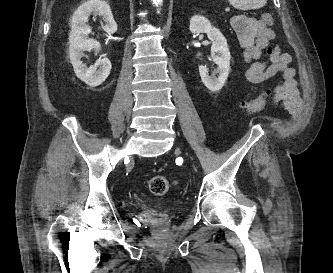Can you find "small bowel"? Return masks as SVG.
I'll use <instances>...</instances> for the list:
<instances>
[{
  "label": "small bowel",
  "instance_id": "obj_1",
  "mask_svg": "<svg viewBox=\"0 0 333 273\" xmlns=\"http://www.w3.org/2000/svg\"><path fill=\"white\" fill-rule=\"evenodd\" d=\"M232 27L243 49L247 64L244 76L250 83L259 84L282 73V80L269 93V98L286 109H294L300 102L296 71L290 66L291 56L281 53L279 46L268 58L261 60L263 50L275 38L273 30L263 20L246 15L232 18Z\"/></svg>",
  "mask_w": 333,
  "mask_h": 273
}]
</instances>
